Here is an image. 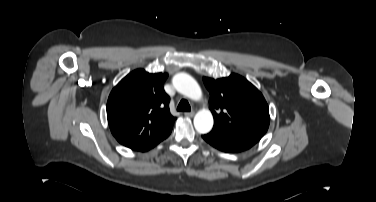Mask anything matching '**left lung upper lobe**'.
Masks as SVG:
<instances>
[{"mask_svg": "<svg viewBox=\"0 0 376 202\" xmlns=\"http://www.w3.org/2000/svg\"><path fill=\"white\" fill-rule=\"evenodd\" d=\"M210 92L209 107L214 117V127L259 141L266 133L269 108L259 90L237 74L212 79L203 78Z\"/></svg>", "mask_w": 376, "mask_h": 202, "instance_id": "obj_1", "label": "left lung upper lobe"}]
</instances>
